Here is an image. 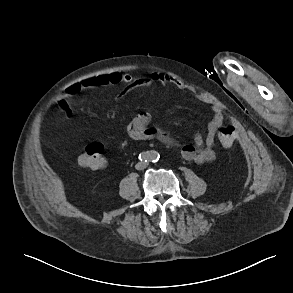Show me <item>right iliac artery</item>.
<instances>
[{"label":"right iliac artery","instance_id":"obj_1","mask_svg":"<svg viewBox=\"0 0 293 293\" xmlns=\"http://www.w3.org/2000/svg\"><path fill=\"white\" fill-rule=\"evenodd\" d=\"M139 160L140 161H144V162H147L149 160H151V153L150 152H142L139 154Z\"/></svg>","mask_w":293,"mask_h":293}]
</instances>
